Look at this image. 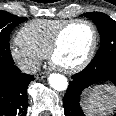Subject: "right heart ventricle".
<instances>
[{
	"mask_svg": "<svg viewBox=\"0 0 116 116\" xmlns=\"http://www.w3.org/2000/svg\"><path fill=\"white\" fill-rule=\"evenodd\" d=\"M66 21V19L32 20L22 26L16 40L21 45L44 57L47 55L55 32Z\"/></svg>",
	"mask_w": 116,
	"mask_h": 116,
	"instance_id": "obj_1",
	"label": "right heart ventricle"
}]
</instances>
